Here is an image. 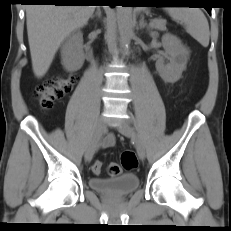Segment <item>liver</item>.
<instances>
[{"instance_id": "obj_1", "label": "liver", "mask_w": 231, "mask_h": 231, "mask_svg": "<svg viewBox=\"0 0 231 231\" xmlns=\"http://www.w3.org/2000/svg\"><path fill=\"white\" fill-rule=\"evenodd\" d=\"M96 6L28 5L27 33L36 77H43L60 47L73 31L85 26Z\"/></svg>"}]
</instances>
